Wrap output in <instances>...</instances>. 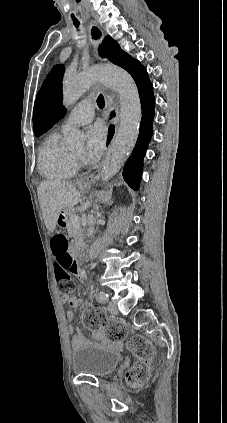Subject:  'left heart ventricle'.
Here are the masks:
<instances>
[{
  "mask_svg": "<svg viewBox=\"0 0 227 423\" xmlns=\"http://www.w3.org/2000/svg\"><path fill=\"white\" fill-rule=\"evenodd\" d=\"M81 153H82V150H80V151L76 152L75 154H76V155H80Z\"/></svg>",
  "mask_w": 227,
  "mask_h": 423,
  "instance_id": "b2bd125f",
  "label": "left heart ventricle"
}]
</instances>
